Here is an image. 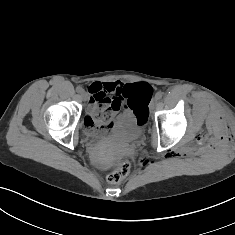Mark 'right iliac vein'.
Here are the masks:
<instances>
[{
  "instance_id": "63e3f726",
  "label": "right iliac vein",
  "mask_w": 235,
  "mask_h": 235,
  "mask_svg": "<svg viewBox=\"0 0 235 235\" xmlns=\"http://www.w3.org/2000/svg\"><path fill=\"white\" fill-rule=\"evenodd\" d=\"M81 97H82V99H83L84 101H87V99H88V94H87L85 91H82V92H81Z\"/></svg>"
}]
</instances>
